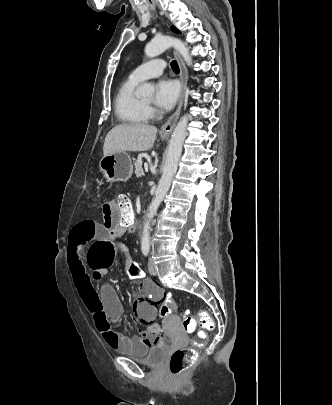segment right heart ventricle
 I'll list each match as a JSON object with an SVG mask.
<instances>
[{"label":"right heart ventricle","instance_id":"obj_1","mask_svg":"<svg viewBox=\"0 0 332 405\" xmlns=\"http://www.w3.org/2000/svg\"><path fill=\"white\" fill-rule=\"evenodd\" d=\"M140 81L128 78L119 88L115 97V114L124 124H141L149 120L150 113L146 104L136 95Z\"/></svg>","mask_w":332,"mask_h":405}]
</instances>
